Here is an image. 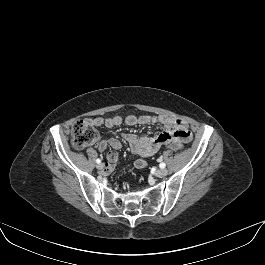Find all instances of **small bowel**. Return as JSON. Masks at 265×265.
Listing matches in <instances>:
<instances>
[{"instance_id": "c3829d8e", "label": "small bowel", "mask_w": 265, "mask_h": 265, "mask_svg": "<svg viewBox=\"0 0 265 265\" xmlns=\"http://www.w3.org/2000/svg\"><path fill=\"white\" fill-rule=\"evenodd\" d=\"M87 121L94 126H105L111 129L119 126L123 120L120 116H113L108 118L96 117ZM125 123L129 126L158 124L163 128L161 133L153 137H139L133 133H123L121 135L130 145L132 152L140 157L134 162V166L138 169L146 167V161L143 158L154 155L163 145L168 146L170 140L176 139L184 144L192 139V133L187 123L180 118L169 115H128L125 118ZM107 146L113 149L107 155V164L111 168L118 163L117 150L120 149L121 143L115 136H111L108 139L102 140L98 144V149L104 151Z\"/></svg>"}]
</instances>
